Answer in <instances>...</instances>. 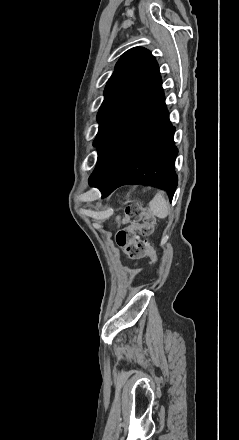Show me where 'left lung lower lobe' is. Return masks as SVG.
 <instances>
[{"label": "left lung lower lobe", "mask_w": 239, "mask_h": 440, "mask_svg": "<svg viewBox=\"0 0 239 440\" xmlns=\"http://www.w3.org/2000/svg\"><path fill=\"white\" fill-rule=\"evenodd\" d=\"M159 76L141 99L102 137L89 178L102 197L127 184H159L173 198L178 149Z\"/></svg>", "instance_id": "0a47b994"}]
</instances>
